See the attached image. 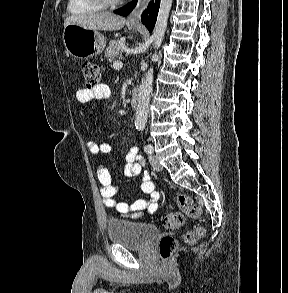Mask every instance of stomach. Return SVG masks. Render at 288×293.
<instances>
[{
  "label": "stomach",
  "mask_w": 288,
  "mask_h": 293,
  "mask_svg": "<svg viewBox=\"0 0 288 293\" xmlns=\"http://www.w3.org/2000/svg\"><path fill=\"white\" fill-rule=\"evenodd\" d=\"M131 28H136V26H131ZM63 43L69 55L78 59H86L100 54L105 49L106 39L97 30L71 23L64 27Z\"/></svg>",
  "instance_id": "obj_1"
}]
</instances>
